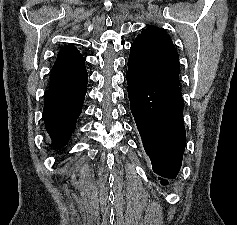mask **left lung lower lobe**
Wrapping results in <instances>:
<instances>
[{"label": "left lung lower lobe", "mask_w": 237, "mask_h": 225, "mask_svg": "<svg viewBox=\"0 0 237 225\" xmlns=\"http://www.w3.org/2000/svg\"><path fill=\"white\" fill-rule=\"evenodd\" d=\"M130 108L155 173L174 179L186 144L183 98L179 87H153L126 74Z\"/></svg>", "instance_id": "1"}]
</instances>
